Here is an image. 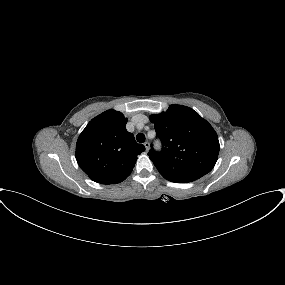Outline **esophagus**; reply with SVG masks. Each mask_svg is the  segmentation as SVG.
Returning a JSON list of instances; mask_svg holds the SVG:
<instances>
[{
	"label": "esophagus",
	"instance_id": "34e87169",
	"mask_svg": "<svg viewBox=\"0 0 285 285\" xmlns=\"http://www.w3.org/2000/svg\"><path fill=\"white\" fill-rule=\"evenodd\" d=\"M144 146L146 148V151H148L150 149V143L149 142H145Z\"/></svg>",
	"mask_w": 285,
	"mask_h": 285
}]
</instances>
